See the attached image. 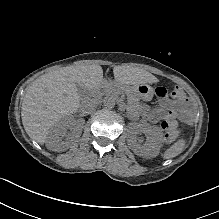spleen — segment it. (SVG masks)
<instances>
[{
    "label": "spleen",
    "instance_id": "1",
    "mask_svg": "<svg viewBox=\"0 0 219 219\" xmlns=\"http://www.w3.org/2000/svg\"><path fill=\"white\" fill-rule=\"evenodd\" d=\"M185 149V140L184 139H179L177 142H175L170 148H168L162 157L164 159H171L179 154H181Z\"/></svg>",
    "mask_w": 219,
    "mask_h": 219
}]
</instances>
